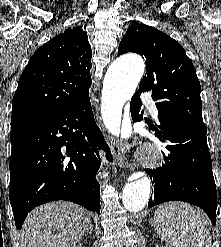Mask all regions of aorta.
Returning <instances> with one entry per match:
<instances>
[{"instance_id":"obj_1","label":"aorta","mask_w":221,"mask_h":247,"mask_svg":"<svg viewBox=\"0 0 221 247\" xmlns=\"http://www.w3.org/2000/svg\"><path fill=\"white\" fill-rule=\"evenodd\" d=\"M145 64L138 55L116 59L108 68L102 90L101 112L106 127L116 135L120 133L122 109L142 78ZM151 182L147 176L128 182L123 188L122 202L130 212H138L147 204Z\"/></svg>"}]
</instances>
